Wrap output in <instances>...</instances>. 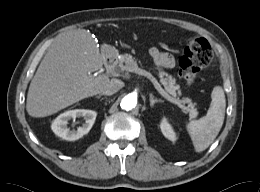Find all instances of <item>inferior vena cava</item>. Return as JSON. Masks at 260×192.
Returning a JSON list of instances; mask_svg holds the SVG:
<instances>
[{"mask_svg": "<svg viewBox=\"0 0 260 192\" xmlns=\"http://www.w3.org/2000/svg\"><path fill=\"white\" fill-rule=\"evenodd\" d=\"M123 86H124V83L121 80L111 79L107 88L105 90H103L101 92V94L112 95V94L118 92Z\"/></svg>", "mask_w": 260, "mask_h": 192, "instance_id": "602c4592", "label": "inferior vena cava"}]
</instances>
